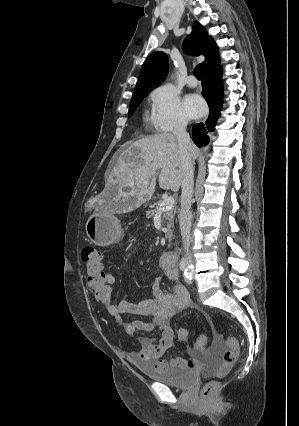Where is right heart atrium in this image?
<instances>
[{
	"label": "right heart atrium",
	"mask_w": 299,
	"mask_h": 426,
	"mask_svg": "<svg viewBox=\"0 0 299 426\" xmlns=\"http://www.w3.org/2000/svg\"><path fill=\"white\" fill-rule=\"evenodd\" d=\"M152 109L150 121L161 132L183 128L187 122L183 102L178 92L170 85H161L151 94Z\"/></svg>",
	"instance_id": "obj_1"
}]
</instances>
